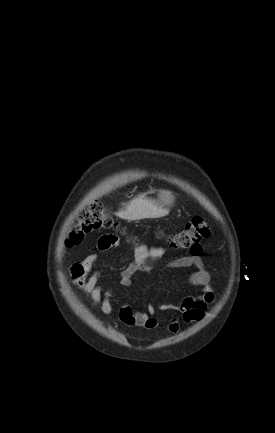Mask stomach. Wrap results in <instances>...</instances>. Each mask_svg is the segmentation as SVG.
Instances as JSON below:
<instances>
[{
	"label": "stomach",
	"instance_id": "1",
	"mask_svg": "<svg viewBox=\"0 0 275 433\" xmlns=\"http://www.w3.org/2000/svg\"><path fill=\"white\" fill-rule=\"evenodd\" d=\"M173 201V196L169 191H161L159 194V204L162 207L170 206Z\"/></svg>",
	"mask_w": 275,
	"mask_h": 433
}]
</instances>
